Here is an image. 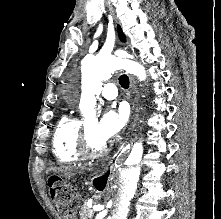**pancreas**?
<instances>
[{"instance_id":"cf45deb5","label":"pancreas","mask_w":221,"mask_h":219,"mask_svg":"<svg viewBox=\"0 0 221 219\" xmlns=\"http://www.w3.org/2000/svg\"><path fill=\"white\" fill-rule=\"evenodd\" d=\"M79 214H80V219H91L94 215V213L91 212V209L88 207L87 203L83 204Z\"/></svg>"}]
</instances>
